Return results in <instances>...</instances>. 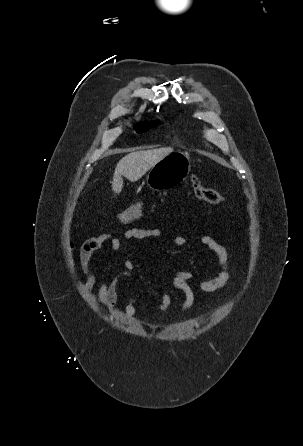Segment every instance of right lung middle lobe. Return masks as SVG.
<instances>
[{
    "instance_id": "1",
    "label": "right lung middle lobe",
    "mask_w": 303,
    "mask_h": 446,
    "mask_svg": "<svg viewBox=\"0 0 303 446\" xmlns=\"http://www.w3.org/2000/svg\"><path fill=\"white\" fill-rule=\"evenodd\" d=\"M159 124L158 121L149 122V123H141L138 126H136V131L138 133H143L147 130H149L151 127H156Z\"/></svg>"
}]
</instances>
